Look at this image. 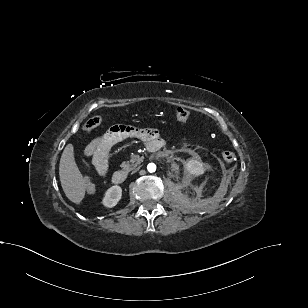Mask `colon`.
<instances>
[{
	"instance_id": "obj_1",
	"label": "colon",
	"mask_w": 308,
	"mask_h": 308,
	"mask_svg": "<svg viewBox=\"0 0 308 308\" xmlns=\"http://www.w3.org/2000/svg\"><path fill=\"white\" fill-rule=\"evenodd\" d=\"M174 117L176 119V121L184 123L186 122L189 117H190V113L187 109L183 108V107H178L175 109L174 111ZM102 117L100 116H93L90 119H88L85 124H84V130L86 132H90L92 130H94L95 128H97L101 123H102ZM223 159L226 162H233L235 160V153L229 150H226L223 152L222 154ZM85 190L86 193L88 195H93L96 191V185L92 180H87L86 184H85Z\"/></svg>"
}]
</instances>
